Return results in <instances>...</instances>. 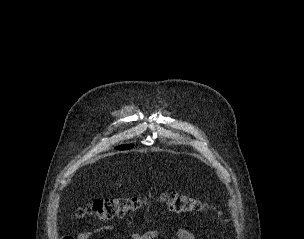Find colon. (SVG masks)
Wrapping results in <instances>:
<instances>
[{"mask_svg": "<svg viewBox=\"0 0 304 239\" xmlns=\"http://www.w3.org/2000/svg\"><path fill=\"white\" fill-rule=\"evenodd\" d=\"M162 200L168 209L175 213H192L206 211L210 208L207 203L182 193H165ZM146 203L140 197H107L97 199L77 210V217H92L99 220L121 218L141 209Z\"/></svg>", "mask_w": 304, "mask_h": 239, "instance_id": "obj_1", "label": "colon"}]
</instances>
